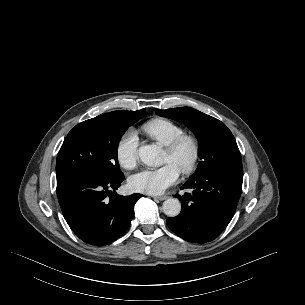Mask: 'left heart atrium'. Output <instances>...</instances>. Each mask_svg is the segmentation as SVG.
<instances>
[{
  "label": "left heart atrium",
  "instance_id": "39dd6f15",
  "mask_svg": "<svg viewBox=\"0 0 305 305\" xmlns=\"http://www.w3.org/2000/svg\"><path fill=\"white\" fill-rule=\"evenodd\" d=\"M180 169L168 162L156 169H145L129 179V184L134 191L157 195L165 192L179 180Z\"/></svg>",
  "mask_w": 305,
  "mask_h": 305
}]
</instances>
